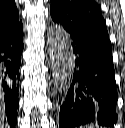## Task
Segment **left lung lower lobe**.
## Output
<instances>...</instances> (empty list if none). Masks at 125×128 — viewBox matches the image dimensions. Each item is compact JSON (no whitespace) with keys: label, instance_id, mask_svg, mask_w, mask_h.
I'll use <instances>...</instances> for the list:
<instances>
[{"label":"left lung lower lobe","instance_id":"0a47b994","mask_svg":"<svg viewBox=\"0 0 125 128\" xmlns=\"http://www.w3.org/2000/svg\"><path fill=\"white\" fill-rule=\"evenodd\" d=\"M71 35V34H70ZM76 68L60 108L59 128L117 122L115 71L111 45L71 35Z\"/></svg>","mask_w":125,"mask_h":128}]
</instances>
